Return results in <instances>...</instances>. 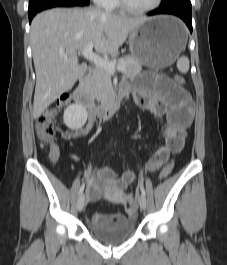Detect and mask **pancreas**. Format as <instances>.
Masks as SVG:
<instances>
[{
	"label": "pancreas",
	"mask_w": 227,
	"mask_h": 265,
	"mask_svg": "<svg viewBox=\"0 0 227 265\" xmlns=\"http://www.w3.org/2000/svg\"><path fill=\"white\" fill-rule=\"evenodd\" d=\"M110 62L115 65H124L123 74L127 77H133L142 70L141 64L132 56L113 58ZM90 94L98 101H105L113 93L111 74L104 68L96 66L88 84Z\"/></svg>",
	"instance_id": "cf45deb5"
}]
</instances>
